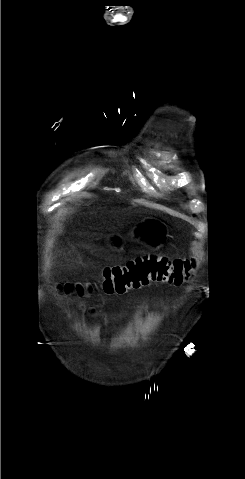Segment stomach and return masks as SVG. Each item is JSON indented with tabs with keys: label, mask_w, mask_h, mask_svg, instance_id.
I'll list each match as a JSON object with an SVG mask.
<instances>
[{
	"label": "stomach",
	"mask_w": 245,
	"mask_h": 479,
	"mask_svg": "<svg viewBox=\"0 0 245 479\" xmlns=\"http://www.w3.org/2000/svg\"><path fill=\"white\" fill-rule=\"evenodd\" d=\"M135 233L139 238H142L149 245L155 247L163 241L166 228L165 225L157 219H147L135 229ZM112 240L116 247L121 245L119 238L113 237Z\"/></svg>",
	"instance_id": "0dacf381"
}]
</instances>
